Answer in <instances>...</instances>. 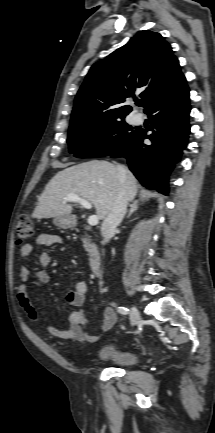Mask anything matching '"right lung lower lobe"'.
I'll return each instance as SVG.
<instances>
[{
	"label": "right lung lower lobe",
	"instance_id": "98d812e1",
	"mask_svg": "<svg viewBox=\"0 0 215 433\" xmlns=\"http://www.w3.org/2000/svg\"><path fill=\"white\" fill-rule=\"evenodd\" d=\"M145 113L150 115L153 133L146 135L145 131L136 130L129 141L110 156H124L130 170L144 187L167 195L168 176L179 161L190 133L186 82L152 102ZM144 139H150L152 143L146 145Z\"/></svg>",
	"mask_w": 215,
	"mask_h": 433
}]
</instances>
